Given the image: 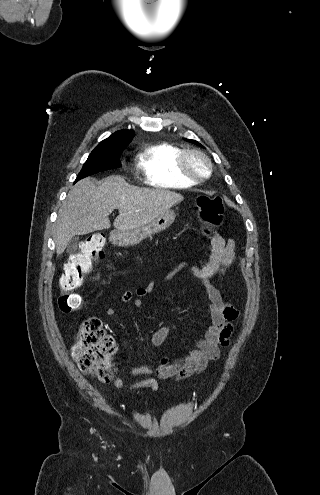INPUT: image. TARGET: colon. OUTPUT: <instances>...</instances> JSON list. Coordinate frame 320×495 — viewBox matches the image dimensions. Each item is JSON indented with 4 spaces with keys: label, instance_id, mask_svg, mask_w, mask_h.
Masks as SVG:
<instances>
[{
    "label": "colon",
    "instance_id": "obj_1",
    "mask_svg": "<svg viewBox=\"0 0 320 495\" xmlns=\"http://www.w3.org/2000/svg\"><path fill=\"white\" fill-rule=\"evenodd\" d=\"M199 216L210 226L221 224L224 206L221 198L200 196L196 200ZM105 236L101 233L89 235L78 252L70 256L60 277L62 293L58 299L59 308L72 312L83 307V298L75 292L93 262L104 255ZM117 351L115 338L106 332L100 319L88 317L81 324L72 357L82 372L91 373L103 383L113 378L112 359Z\"/></svg>",
    "mask_w": 320,
    "mask_h": 495
}]
</instances>
